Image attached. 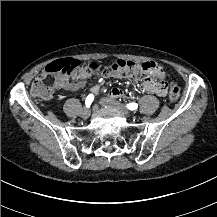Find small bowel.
Listing matches in <instances>:
<instances>
[{
  "label": "small bowel",
  "instance_id": "obj_1",
  "mask_svg": "<svg viewBox=\"0 0 217 217\" xmlns=\"http://www.w3.org/2000/svg\"><path fill=\"white\" fill-rule=\"evenodd\" d=\"M99 77L100 79H124L125 76L117 71H107L104 67L100 66L99 63L94 59H89L86 62L85 68H79L76 74L66 76L61 75L59 77V84H65L68 82L69 78L74 79L76 82L74 84L75 89L82 88L87 79L91 76ZM145 87L158 96H163L165 94V89L160 86H155L151 82H147ZM125 95V91L121 88H112L108 92L110 98H119Z\"/></svg>",
  "mask_w": 217,
  "mask_h": 217
}]
</instances>
